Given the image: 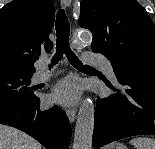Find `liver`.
Wrapping results in <instances>:
<instances>
[{"label":"liver","instance_id":"6515ba94","mask_svg":"<svg viewBox=\"0 0 155 149\" xmlns=\"http://www.w3.org/2000/svg\"><path fill=\"white\" fill-rule=\"evenodd\" d=\"M41 144L22 131L0 125V149H41Z\"/></svg>","mask_w":155,"mask_h":149}]
</instances>
